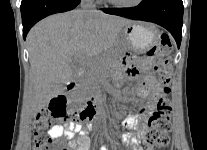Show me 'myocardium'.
<instances>
[{"label": "myocardium", "instance_id": "1", "mask_svg": "<svg viewBox=\"0 0 207 150\" xmlns=\"http://www.w3.org/2000/svg\"><path fill=\"white\" fill-rule=\"evenodd\" d=\"M106 1L110 3L111 5L118 7V8L131 9V8H135L141 5L144 0H135L131 3H121L116 0H106Z\"/></svg>", "mask_w": 207, "mask_h": 150}]
</instances>
